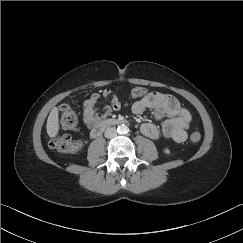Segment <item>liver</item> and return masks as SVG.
I'll return each mask as SVG.
<instances>
[{
	"label": "liver",
	"instance_id": "6515ba94",
	"mask_svg": "<svg viewBox=\"0 0 243 243\" xmlns=\"http://www.w3.org/2000/svg\"><path fill=\"white\" fill-rule=\"evenodd\" d=\"M59 112H58V108L54 107L47 119V124H46V130H47V134L50 138H54L57 136L58 132H59Z\"/></svg>",
	"mask_w": 243,
	"mask_h": 243
}]
</instances>
